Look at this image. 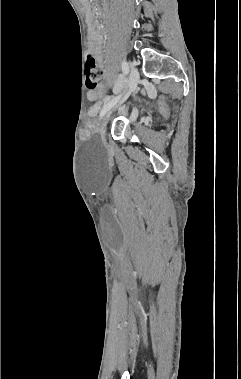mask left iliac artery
Returning <instances> with one entry per match:
<instances>
[{
  "instance_id": "1",
  "label": "left iliac artery",
  "mask_w": 241,
  "mask_h": 379,
  "mask_svg": "<svg viewBox=\"0 0 241 379\" xmlns=\"http://www.w3.org/2000/svg\"><path fill=\"white\" fill-rule=\"evenodd\" d=\"M121 66H122V71L125 75H127L129 73V66H128V63L126 61H122L121 62ZM120 96H116V97H108L106 99V104L104 105V107L102 108L101 112H100V119L106 114V112L118 101Z\"/></svg>"
}]
</instances>
